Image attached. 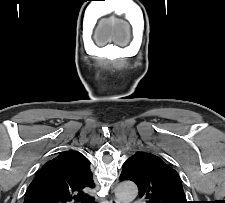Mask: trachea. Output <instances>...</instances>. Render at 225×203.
Wrapping results in <instances>:
<instances>
[{
	"label": "trachea",
	"instance_id": "3493384b",
	"mask_svg": "<svg viewBox=\"0 0 225 203\" xmlns=\"http://www.w3.org/2000/svg\"><path fill=\"white\" fill-rule=\"evenodd\" d=\"M77 199H78L81 203H89V201L86 199V197L81 196V197H78Z\"/></svg>",
	"mask_w": 225,
	"mask_h": 203
}]
</instances>
